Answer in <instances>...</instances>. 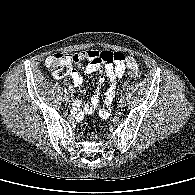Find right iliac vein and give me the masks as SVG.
<instances>
[{"label":"right iliac vein","mask_w":195,"mask_h":195,"mask_svg":"<svg viewBox=\"0 0 195 195\" xmlns=\"http://www.w3.org/2000/svg\"><path fill=\"white\" fill-rule=\"evenodd\" d=\"M63 102H64L65 104H68V103L70 102V97H69L68 95H65V96L63 97Z\"/></svg>","instance_id":"obj_1"}]
</instances>
